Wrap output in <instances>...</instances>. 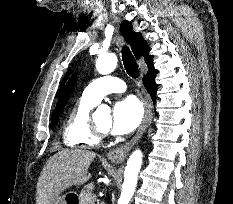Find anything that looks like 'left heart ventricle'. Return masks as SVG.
Here are the masks:
<instances>
[{
  "label": "left heart ventricle",
  "mask_w": 233,
  "mask_h": 204,
  "mask_svg": "<svg viewBox=\"0 0 233 204\" xmlns=\"http://www.w3.org/2000/svg\"><path fill=\"white\" fill-rule=\"evenodd\" d=\"M96 124L102 129L108 131L111 125V117L109 115L103 116L96 121Z\"/></svg>",
  "instance_id": "left-heart-ventricle-1"
}]
</instances>
